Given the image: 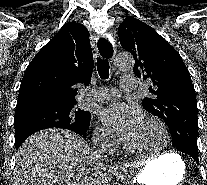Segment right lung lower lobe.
<instances>
[{
    "instance_id": "98d812e1",
    "label": "right lung lower lobe",
    "mask_w": 207,
    "mask_h": 185,
    "mask_svg": "<svg viewBox=\"0 0 207 185\" xmlns=\"http://www.w3.org/2000/svg\"><path fill=\"white\" fill-rule=\"evenodd\" d=\"M79 135H84L85 133H81V132H79L78 133ZM25 139H23V140H21V141H18V142H16V147L17 148H19L20 147V145L23 143V141H24Z\"/></svg>"
}]
</instances>
